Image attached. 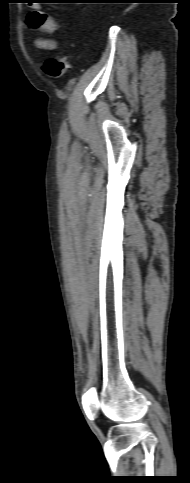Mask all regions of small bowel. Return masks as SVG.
I'll list each match as a JSON object with an SVG mask.
<instances>
[{"label":"small bowel","instance_id":"small-bowel-1","mask_svg":"<svg viewBox=\"0 0 190 483\" xmlns=\"http://www.w3.org/2000/svg\"><path fill=\"white\" fill-rule=\"evenodd\" d=\"M27 22L32 29H37L44 33L52 34L56 30L55 21L43 12H30L27 16ZM35 45L37 48L46 51L53 50L56 47V44L53 40L44 38L36 39Z\"/></svg>","mask_w":190,"mask_h":483}]
</instances>
